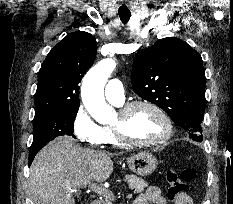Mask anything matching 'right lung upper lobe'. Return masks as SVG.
<instances>
[{"instance_id":"1","label":"right lung upper lobe","mask_w":233,"mask_h":204,"mask_svg":"<svg viewBox=\"0 0 233 204\" xmlns=\"http://www.w3.org/2000/svg\"><path fill=\"white\" fill-rule=\"evenodd\" d=\"M96 51L97 43L87 32L71 33L55 45L38 73L35 113L79 107L78 84L92 66Z\"/></svg>"}]
</instances>
